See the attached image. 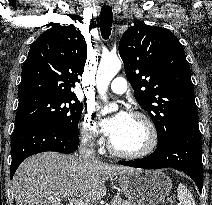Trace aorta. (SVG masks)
I'll use <instances>...</instances> for the list:
<instances>
[{
    "label": "aorta",
    "instance_id": "aorta-1",
    "mask_svg": "<svg viewBox=\"0 0 212 205\" xmlns=\"http://www.w3.org/2000/svg\"><path fill=\"white\" fill-rule=\"evenodd\" d=\"M121 69V61L117 56L102 57L96 75V86L99 94L106 100L109 83Z\"/></svg>",
    "mask_w": 212,
    "mask_h": 205
}]
</instances>
